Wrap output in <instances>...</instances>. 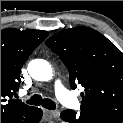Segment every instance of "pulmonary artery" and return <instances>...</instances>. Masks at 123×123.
Instances as JSON below:
<instances>
[{"instance_id": "pulmonary-artery-1", "label": "pulmonary artery", "mask_w": 123, "mask_h": 123, "mask_svg": "<svg viewBox=\"0 0 123 123\" xmlns=\"http://www.w3.org/2000/svg\"><path fill=\"white\" fill-rule=\"evenodd\" d=\"M55 94L58 100L70 108L78 107V100L60 82H55Z\"/></svg>"}]
</instances>
